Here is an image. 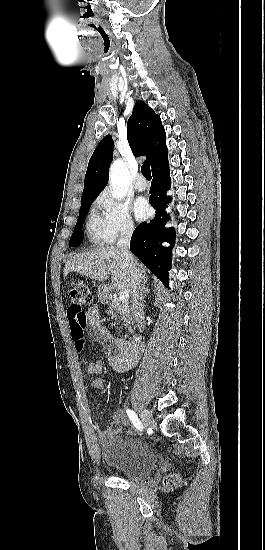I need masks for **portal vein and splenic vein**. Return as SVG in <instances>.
Masks as SVG:
<instances>
[{
	"instance_id": "18ae733b",
	"label": "portal vein and splenic vein",
	"mask_w": 265,
	"mask_h": 550,
	"mask_svg": "<svg viewBox=\"0 0 265 550\" xmlns=\"http://www.w3.org/2000/svg\"><path fill=\"white\" fill-rule=\"evenodd\" d=\"M119 299L123 302H128L129 300V293L128 292H125V291H121L119 293Z\"/></svg>"
}]
</instances>
